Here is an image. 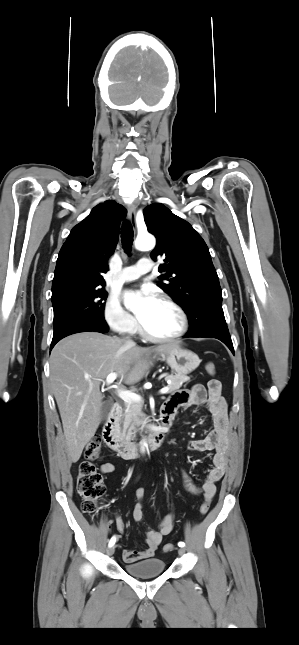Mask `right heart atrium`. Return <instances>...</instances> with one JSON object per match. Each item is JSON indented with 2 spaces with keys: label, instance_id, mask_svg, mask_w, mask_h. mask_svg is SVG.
Returning <instances> with one entry per match:
<instances>
[{
  "label": "right heart atrium",
  "instance_id": "obj_1",
  "mask_svg": "<svg viewBox=\"0 0 299 645\" xmlns=\"http://www.w3.org/2000/svg\"><path fill=\"white\" fill-rule=\"evenodd\" d=\"M103 317L108 327L121 334L134 333L137 329L135 318L127 312L116 298H109L104 306Z\"/></svg>",
  "mask_w": 299,
  "mask_h": 645
}]
</instances>
